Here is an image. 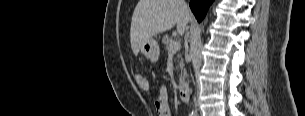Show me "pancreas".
Wrapping results in <instances>:
<instances>
[{
  "label": "pancreas",
  "mask_w": 305,
  "mask_h": 116,
  "mask_svg": "<svg viewBox=\"0 0 305 116\" xmlns=\"http://www.w3.org/2000/svg\"><path fill=\"white\" fill-rule=\"evenodd\" d=\"M162 42L164 44V47H165V50L166 52L169 54V47L171 44H173L175 41L170 38L168 35L164 36L163 39H162ZM178 58H181L180 55H178ZM179 66L182 68L183 67V60L181 58V61L179 62ZM180 82H181V78H180Z\"/></svg>",
  "instance_id": "pancreas-1"
}]
</instances>
